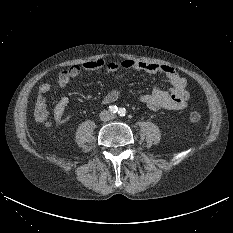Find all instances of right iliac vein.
Here are the masks:
<instances>
[{
	"label": "right iliac vein",
	"instance_id": "63e3f726",
	"mask_svg": "<svg viewBox=\"0 0 233 233\" xmlns=\"http://www.w3.org/2000/svg\"><path fill=\"white\" fill-rule=\"evenodd\" d=\"M105 116V113L102 115V117H104Z\"/></svg>",
	"mask_w": 233,
	"mask_h": 233
}]
</instances>
